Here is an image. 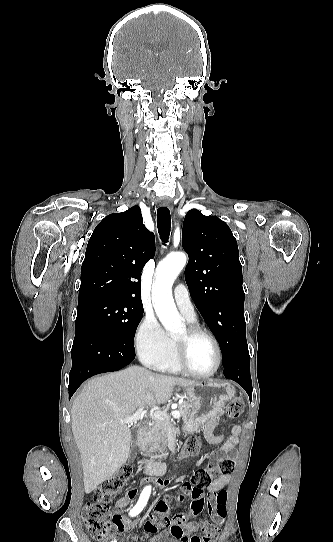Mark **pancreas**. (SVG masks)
I'll use <instances>...</instances> for the list:
<instances>
[{
	"label": "pancreas",
	"mask_w": 333,
	"mask_h": 542,
	"mask_svg": "<svg viewBox=\"0 0 333 542\" xmlns=\"http://www.w3.org/2000/svg\"><path fill=\"white\" fill-rule=\"evenodd\" d=\"M189 408H191L189 402H182V404L178 406L177 412H180L181 420H183V422H187V420L191 418ZM172 430H174V426L172 422H170V418L155 420V426L149 428L148 436L144 440L146 444H144L145 448H143V456H147V458H154V456L166 458V456H168L167 438L169 432H172Z\"/></svg>",
	"instance_id": "obj_1"
}]
</instances>
